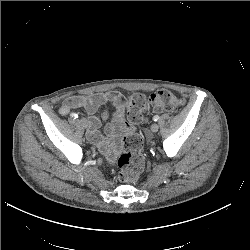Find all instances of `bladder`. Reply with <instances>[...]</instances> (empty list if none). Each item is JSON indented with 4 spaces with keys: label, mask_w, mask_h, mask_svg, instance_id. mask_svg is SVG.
Returning a JSON list of instances; mask_svg holds the SVG:
<instances>
[{
    "label": "bladder",
    "mask_w": 250,
    "mask_h": 250,
    "mask_svg": "<svg viewBox=\"0 0 250 250\" xmlns=\"http://www.w3.org/2000/svg\"><path fill=\"white\" fill-rule=\"evenodd\" d=\"M116 129H117L118 131H121V130L124 129V125H123L121 122H118V123L116 124Z\"/></svg>",
    "instance_id": "bladder-1"
}]
</instances>
